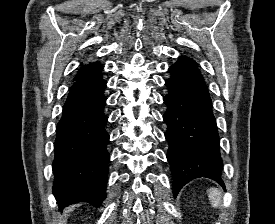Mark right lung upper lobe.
<instances>
[{"instance_id": "1", "label": "right lung upper lobe", "mask_w": 275, "mask_h": 224, "mask_svg": "<svg viewBox=\"0 0 275 224\" xmlns=\"http://www.w3.org/2000/svg\"><path fill=\"white\" fill-rule=\"evenodd\" d=\"M100 71L101 65L98 62L86 64L78 70L73 81H77L92 75L100 74Z\"/></svg>"}]
</instances>
